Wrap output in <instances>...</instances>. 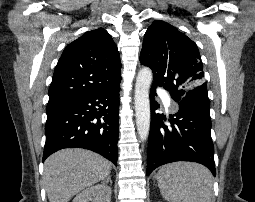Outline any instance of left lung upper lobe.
Wrapping results in <instances>:
<instances>
[{
    "label": "left lung upper lobe",
    "instance_id": "1",
    "mask_svg": "<svg viewBox=\"0 0 255 202\" xmlns=\"http://www.w3.org/2000/svg\"><path fill=\"white\" fill-rule=\"evenodd\" d=\"M140 62L153 71V89L164 87L176 102L210 109L198 47L174 26L160 20L152 23Z\"/></svg>",
    "mask_w": 255,
    "mask_h": 202
}]
</instances>
